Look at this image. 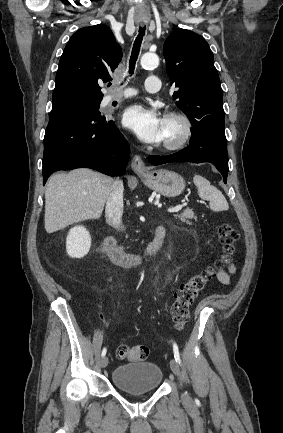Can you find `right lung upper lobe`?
Instances as JSON below:
<instances>
[{
	"instance_id": "cb5924a9",
	"label": "right lung upper lobe",
	"mask_w": 283,
	"mask_h": 433,
	"mask_svg": "<svg viewBox=\"0 0 283 433\" xmlns=\"http://www.w3.org/2000/svg\"><path fill=\"white\" fill-rule=\"evenodd\" d=\"M121 59V47L108 26L98 24L75 32L60 58L50 114L101 101L98 81L111 79Z\"/></svg>"
}]
</instances>
